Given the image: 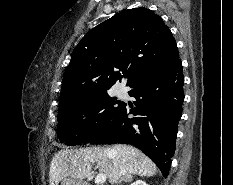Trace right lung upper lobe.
Here are the masks:
<instances>
[{
  "instance_id": "cb5924a9",
  "label": "right lung upper lobe",
  "mask_w": 233,
  "mask_h": 185,
  "mask_svg": "<svg viewBox=\"0 0 233 185\" xmlns=\"http://www.w3.org/2000/svg\"><path fill=\"white\" fill-rule=\"evenodd\" d=\"M178 58L176 41L159 15L147 8L125 10L90 30L76 46L59 107L107 91L122 74L129 86Z\"/></svg>"
}]
</instances>
